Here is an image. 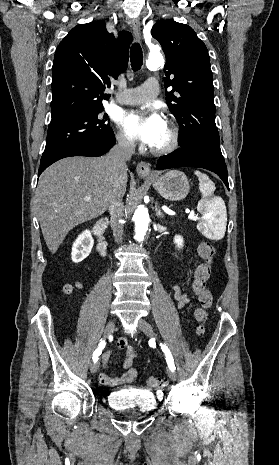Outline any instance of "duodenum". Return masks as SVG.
I'll list each match as a JSON object with an SVG mask.
<instances>
[{"mask_svg":"<svg viewBox=\"0 0 279 465\" xmlns=\"http://www.w3.org/2000/svg\"><path fill=\"white\" fill-rule=\"evenodd\" d=\"M108 225V219L102 218L98 220L93 227V234L97 239V251L101 256L107 253V242L104 238V231Z\"/></svg>","mask_w":279,"mask_h":465,"instance_id":"duodenum-1","label":"duodenum"}]
</instances>
